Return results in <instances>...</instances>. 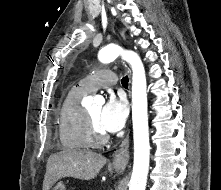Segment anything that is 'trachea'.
Wrapping results in <instances>:
<instances>
[{
	"instance_id": "trachea-1",
	"label": "trachea",
	"mask_w": 221,
	"mask_h": 190,
	"mask_svg": "<svg viewBox=\"0 0 221 190\" xmlns=\"http://www.w3.org/2000/svg\"><path fill=\"white\" fill-rule=\"evenodd\" d=\"M128 82H129V79L127 76L123 77L121 80V83L124 87H128Z\"/></svg>"
}]
</instances>
